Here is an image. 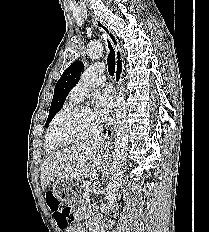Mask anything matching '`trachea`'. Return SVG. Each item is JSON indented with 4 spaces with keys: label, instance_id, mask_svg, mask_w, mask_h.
Wrapping results in <instances>:
<instances>
[{
    "label": "trachea",
    "instance_id": "trachea-1",
    "mask_svg": "<svg viewBox=\"0 0 209 232\" xmlns=\"http://www.w3.org/2000/svg\"><path fill=\"white\" fill-rule=\"evenodd\" d=\"M107 42H108V48H109V54H108V58H107L108 72L111 76H113L115 73V67H116L115 51H114L110 41L107 40Z\"/></svg>",
    "mask_w": 209,
    "mask_h": 232
}]
</instances>
